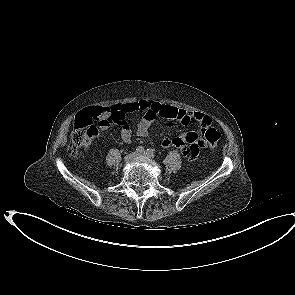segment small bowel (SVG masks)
<instances>
[{"label": "small bowel", "instance_id": "c3829d8e", "mask_svg": "<svg viewBox=\"0 0 295 295\" xmlns=\"http://www.w3.org/2000/svg\"><path fill=\"white\" fill-rule=\"evenodd\" d=\"M109 113L100 117L98 126L100 130L108 129L113 123H121V138L124 142L129 143L132 138L130 126L125 122L126 117L142 111L143 116L137 127V135L146 137L149 133L151 124L160 118L168 122H177L182 125H188L192 120H196L201 125L211 124V118L199 111H189L167 104L160 103L155 100H139L111 106L108 108ZM204 141L199 138L194 131L182 133L175 137H166L162 139L161 146L163 148H177L189 159H193L199 152Z\"/></svg>", "mask_w": 295, "mask_h": 295}]
</instances>
